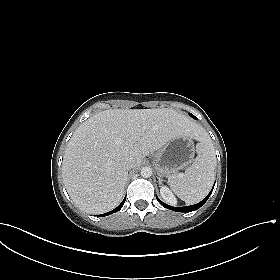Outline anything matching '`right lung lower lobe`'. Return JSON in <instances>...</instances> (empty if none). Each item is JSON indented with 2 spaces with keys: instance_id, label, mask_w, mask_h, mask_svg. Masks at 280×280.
<instances>
[{
  "instance_id": "1",
  "label": "right lung lower lobe",
  "mask_w": 280,
  "mask_h": 280,
  "mask_svg": "<svg viewBox=\"0 0 280 280\" xmlns=\"http://www.w3.org/2000/svg\"><path fill=\"white\" fill-rule=\"evenodd\" d=\"M125 200H126V198H125V199L122 201V203H121L117 208H115L114 210H112V211H110V212H108V213H105V214H101L100 216H107V215H110V214H112V213L118 212V211L123 207Z\"/></svg>"
}]
</instances>
